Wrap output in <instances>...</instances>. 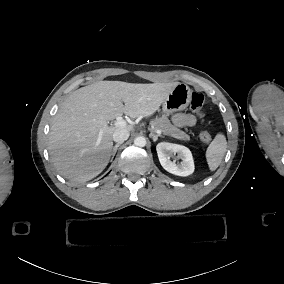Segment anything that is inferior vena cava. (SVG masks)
Returning <instances> with one entry per match:
<instances>
[{"instance_id": "1", "label": "inferior vena cava", "mask_w": 284, "mask_h": 284, "mask_svg": "<svg viewBox=\"0 0 284 284\" xmlns=\"http://www.w3.org/2000/svg\"><path fill=\"white\" fill-rule=\"evenodd\" d=\"M129 138V131L125 129L116 130L113 133V140L118 143H123Z\"/></svg>"}]
</instances>
